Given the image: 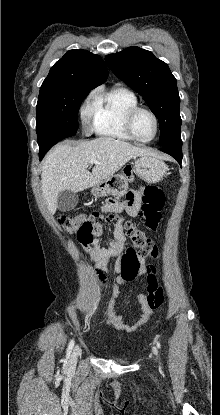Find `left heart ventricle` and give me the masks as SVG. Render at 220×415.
<instances>
[{"label": "left heart ventricle", "instance_id": "1", "mask_svg": "<svg viewBox=\"0 0 220 415\" xmlns=\"http://www.w3.org/2000/svg\"><path fill=\"white\" fill-rule=\"evenodd\" d=\"M134 132L140 139H150L155 132V123L150 114L139 112L133 123Z\"/></svg>", "mask_w": 220, "mask_h": 415}]
</instances>
